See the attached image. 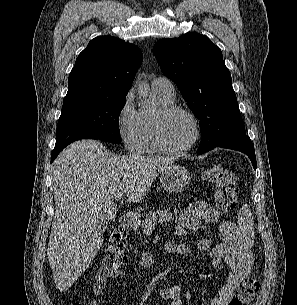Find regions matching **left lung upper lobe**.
Segmentation results:
<instances>
[{"label":"left lung upper lobe","instance_id":"obj_1","mask_svg":"<svg viewBox=\"0 0 297 305\" xmlns=\"http://www.w3.org/2000/svg\"><path fill=\"white\" fill-rule=\"evenodd\" d=\"M153 53L163 74L176 83L200 120L199 150L245 133L231 74L220 48L208 37L190 32L179 38L161 39Z\"/></svg>","mask_w":297,"mask_h":305}]
</instances>
